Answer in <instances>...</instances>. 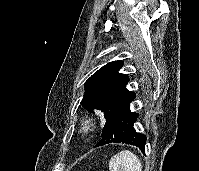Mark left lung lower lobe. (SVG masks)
Segmentation results:
<instances>
[{
    "mask_svg": "<svg viewBox=\"0 0 199 171\" xmlns=\"http://www.w3.org/2000/svg\"><path fill=\"white\" fill-rule=\"evenodd\" d=\"M135 97L136 94L133 93L106 119L102 130V139L95 147L118 142L135 145L142 152L145 151L146 136L137 133L134 129L138 114L130 111V103Z\"/></svg>",
    "mask_w": 199,
    "mask_h": 171,
    "instance_id": "obj_1",
    "label": "left lung lower lobe"
}]
</instances>
